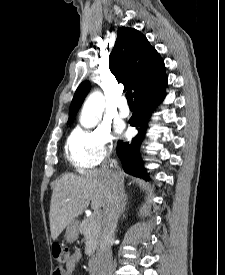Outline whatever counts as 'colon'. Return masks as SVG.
<instances>
[{"label": "colon", "mask_w": 225, "mask_h": 275, "mask_svg": "<svg viewBox=\"0 0 225 275\" xmlns=\"http://www.w3.org/2000/svg\"><path fill=\"white\" fill-rule=\"evenodd\" d=\"M52 255L54 260L59 264H65L70 259L69 250L60 244H54L52 246ZM61 270L62 269H57L54 274L57 275Z\"/></svg>", "instance_id": "obj_1"}]
</instances>
